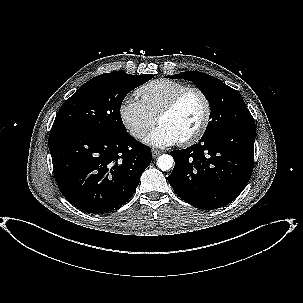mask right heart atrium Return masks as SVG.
<instances>
[{"label": "right heart atrium", "instance_id": "d8ad5b80", "mask_svg": "<svg viewBox=\"0 0 303 303\" xmlns=\"http://www.w3.org/2000/svg\"><path fill=\"white\" fill-rule=\"evenodd\" d=\"M119 115L123 125L135 139H141L156 123L142 102L132 96L125 97L119 106Z\"/></svg>", "mask_w": 303, "mask_h": 303}]
</instances>
